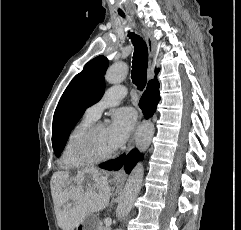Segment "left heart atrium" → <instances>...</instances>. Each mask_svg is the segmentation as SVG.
I'll return each instance as SVG.
<instances>
[{"instance_id": "1", "label": "left heart atrium", "mask_w": 241, "mask_h": 230, "mask_svg": "<svg viewBox=\"0 0 241 230\" xmlns=\"http://www.w3.org/2000/svg\"><path fill=\"white\" fill-rule=\"evenodd\" d=\"M136 116L131 108H121L113 113L112 121L107 128V139L112 150L121 147L129 138Z\"/></svg>"}]
</instances>
